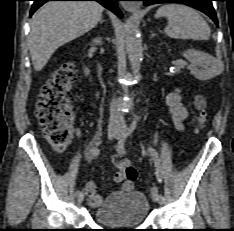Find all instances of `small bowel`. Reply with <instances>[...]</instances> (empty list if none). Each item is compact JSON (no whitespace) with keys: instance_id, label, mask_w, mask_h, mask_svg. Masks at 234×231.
<instances>
[{"instance_id":"c3829d8e","label":"small bowel","mask_w":234,"mask_h":231,"mask_svg":"<svg viewBox=\"0 0 234 231\" xmlns=\"http://www.w3.org/2000/svg\"><path fill=\"white\" fill-rule=\"evenodd\" d=\"M166 103L175 128L182 131L184 128V121L188 117V110L181 102L179 88H175L167 95ZM74 133L79 134V130L75 129ZM121 182V190L124 192H129L134 187V184L131 181L124 180ZM85 193L88 197V202L92 207H97L101 204L102 197L96 193V187L93 182L86 183Z\"/></svg>"}]
</instances>
